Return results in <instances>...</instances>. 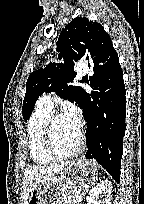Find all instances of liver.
Listing matches in <instances>:
<instances>
[{"label": "liver", "instance_id": "liver-1", "mask_svg": "<svg viewBox=\"0 0 144 204\" xmlns=\"http://www.w3.org/2000/svg\"><path fill=\"white\" fill-rule=\"evenodd\" d=\"M72 162H66L56 165H31L24 171L23 177V197L24 204H27L28 198L33 189L40 184L55 180L65 166Z\"/></svg>", "mask_w": 144, "mask_h": 204}]
</instances>
